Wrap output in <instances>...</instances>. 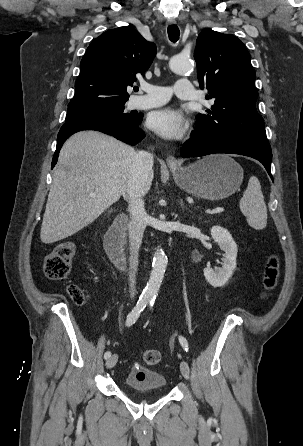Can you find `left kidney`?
Listing matches in <instances>:
<instances>
[{
	"mask_svg": "<svg viewBox=\"0 0 303 446\" xmlns=\"http://www.w3.org/2000/svg\"><path fill=\"white\" fill-rule=\"evenodd\" d=\"M211 236L225 253L222 267L212 269L207 265L204 269V276L213 287H222L228 282L236 268L237 244L228 230L220 226L211 228Z\"/></svg>",
	"mask_w": 303,
	"mask_h": 446,
	"instance_id": "5707ae66",
	"label": "left kidney"
}]
</instances>
